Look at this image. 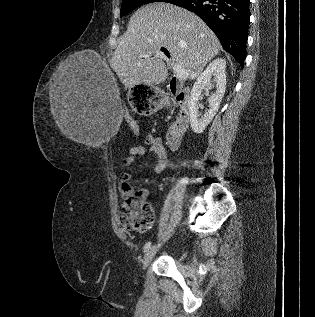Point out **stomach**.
I'll return each mask as SVG.
<instances>
[{"mask_svg": "<svg viewBox=\"0 0 315 317\" xmlns=\"http://www.w3.org/2000/svg\"><path fill=\"white\" fill-rule=\"evenodd\" d=\"M155 84H132L130 98L134 108V114H157L158 97Z\"/></svg>", "mask_w": 315, "mask_h": 317, "instance_id": "1", "label": "stomach"}]
</instances>
